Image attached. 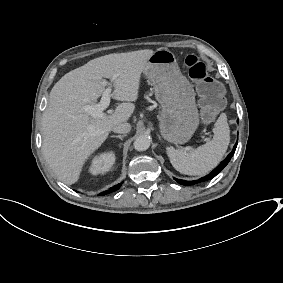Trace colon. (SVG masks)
I'll list each match as a JSON object with an SVG mask.
<instances>
[{
    "mask_svg": "<svg viewBox=\"0 0 283 283\" xmlns=\"http://www.w3.org/2000/svg\"><path fill=\"white\" fill-rule=\"evenodd\" d=\"M189 76L196 83L200 96L201 114L206 122L212 121L224 106V93L221 84L208 72L206 65L195 55L184 58Z\"/></svg>",
    "mask_w": 283,
    "mask_h": 283,
    "instance_id": "colon-1",
    "label": "colon"
}]
</instances>
